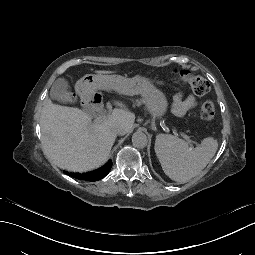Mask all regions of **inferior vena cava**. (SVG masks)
I'll return each mask as SVG.
<instances>
[{
    "instance_id": "602c4592",
    "label": "inferior vena cava",
    "mask_w": 255,
    "mask_h": 255,
    "mask_svg": "<svg viewBox=\"0 0 255 255\" xmlns=\"http://www.w3.org/2000/svg\"><path fill=\"white\" fill-rule=\"evenodd\" d=\"M113 131L117 135H125L127 133V128L122 124H117L113 126Z\"/></svg>"
}]
</instances>
